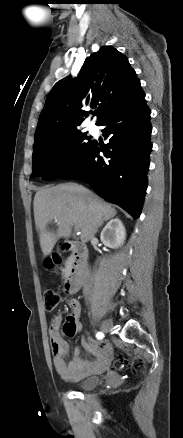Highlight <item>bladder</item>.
Wrapping results in <instances>:
<instances>
[{"label": "bladder", "mask_w": 183, "mask_h": 438, "mask_svg": "<svg viewBox=\"0 0 183 438\" xmlns=\"http://www.w3.org/2000/svg\"><path fill=\"white\" fill-rule=\"evenodd\" d=\"M100 383V377L99 376H90L82 379L78 383V388L80 390H91L98 386Z\"/></svg>", "instance_id": "1"}]
</instances>
